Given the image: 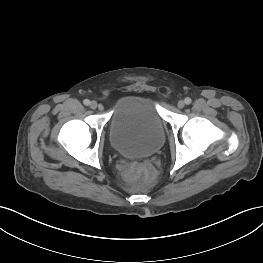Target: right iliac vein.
Here are the masks:
<instances>
[{
    "mask_svg": "<svg viewBox=\"0 0 263 263\" xmlns=\"http://www.w3.org/2000/svg\"><path fill=\"white\" fill-rule=\"evenodd\" d=\"M97 106H98V103H97L96 101H92V102L90 103V108H91V109H96Z\"/></svg>",
    "mask_w": 263,
    "mask_h": 263,
    "instance_id": "63e3f726",
    "label": "right iliac vein"
}]
</instances>
